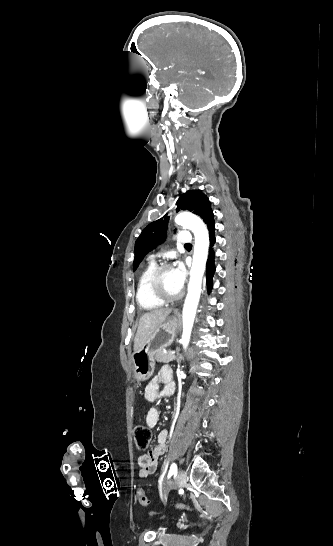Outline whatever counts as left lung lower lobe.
<instances>
[{
	"label": "left lung lower lobe",
	"mask_w": 333,
	"mask_h": 546,
	"mask_svg": "<svg viewBox=\"0 0 333 546\" xmlns=\"http://www.w3.org/2000/svg\"><path fill=\"white\" fill-rule=\"evenodd\" d=\"M206 228L208 231L209 243H210L209 255H208L207 264H206V279H207V289H208V292H210L212 289V278L215 272V265H214L215 252L212 249L214 243L216 242L214 215L211 216L210 219L207 221Z\"/></svg>",
	"instance_id": "left-lung-lower-lobe-1"
}]
</instances>
